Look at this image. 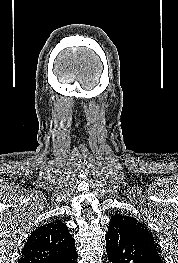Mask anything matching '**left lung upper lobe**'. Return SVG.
<instances>
[{
  "instance_id": "obj_1",
  "label": "left lung upper lobe",
  "mask_w": 178,
  "mask_h": 263,
  "mask_svg": "<svg viewBox=\"0 0 178 263\" xmlns=\"http://www.w3.org/2000/svg\"><path fill=\"white\" fill-rule=\"evenodd\" d=\"M115 216H120V217H122L124 220H126V221H128V222H130V223H132V224H135V225H138V226H140V227L146 228V226H145L142 222L136 220V219L133 218V217L126 216V215H122V214H116ZM115 216H114V217H115ZM146 229H147V228H146Z\"/></svg>"
}]
</instances>
